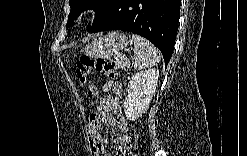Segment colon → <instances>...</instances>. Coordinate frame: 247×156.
Returning <instances> with one entry per match:
<instances>
[{
  "instance_id": "1",
  "label": "colon",
  "mask_w": 247,
  "mask_h": 156,
  "mask_svg": "<svg viewBox=\"0 0 247 156\" xmlns=\"http://www.w3.org/2000/svg\"><path fill=\"white\" fill-rule=\"evenodd\" d=\"M77 76L80 81L87 86L88 94L91 96H97V90L92 82L90 76L93 71L102 72L107 78L112 79L116 76V65L115 62L106 57H89L86 55L81 56L76 62ZM132 138L134 143L130 154H135L137 151V134L132 132Z\"/></svg>"
}]
</instances>
